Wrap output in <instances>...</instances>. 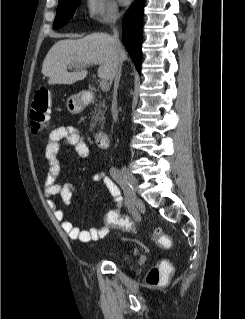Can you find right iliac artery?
<instances>
[{
    "label": "right iliac artery",
    "instance_id": "right-iliac-artery-1",
    "mask_svg": "<svg viewBox=\"0 0 245 319\" xmlns=\"http://www.w3.org/2000/svg\"><path fill=\"white\" fill-rule=\"evenodd\" d=\"M110 175L112 176V178L122 187V189L124 190V194H125V203L128 207V209L131 211V213L133 214V216H137V211L135 209L134 206V197L132 195V190L130 185H128L124 175L122 174V172L120 170H118L115 167H112L110 169ZM111 189H112V194L113 195H120V191L117 188V186L111 182ZM120 199H122V197L120 196Z\"/></svg>",
    "mask_w": 245,
    "mask_h": 319
}]
</instances>
